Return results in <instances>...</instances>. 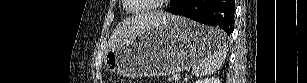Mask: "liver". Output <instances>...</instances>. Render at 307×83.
Instances as JSON below:
<instances>
[{
	"label": "liver",
	"mask_w": 307,
	"mask_h": 83,
	"mask_svg": "<svg viewBox=\"0 0 307 83\" xmlns=\"http://www.w3.org/2000/svg\"><path fill=\"white\" fill-rule=\"evenodd\" d=\"M172 18L173 15L168 13L151 12L124 20L115 28L111 36V45L116 46L122 44L135 38L151 27L158 26L163 22L171 20Z\"/></svg>",
	"instance_id": "liver-1"
}]
</instances>
